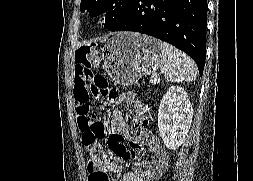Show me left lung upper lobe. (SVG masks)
<instances>
[{"mask_svg":"<svg viewBox=\"0 0 253 181\" xmlns=\"http://www.w3.org/2000/svg\"><path fill=\"white\" fill-rule=\"evenodd\" d=\"M133 0H81L80 11L87 10L89 15L106 12V28L116 25L130 10Z\"/></svg>","mask_w":253,"mask_h":181,"instance_id":"obj_1","label":"left lung upper lobe"}]
</instances>
